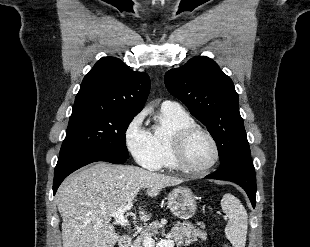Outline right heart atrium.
I'll return each instance as SVG.
<instances>
[{
	"mask_svg": "<svg viewBox=\"0 0 310 247\" xmlns=\"http://www.w3.org/2000/svg\"><path fill=\"white\" fill-rule=\"evenodd\" d=\"M146 112L138 113L127 125L124 132V140L127 149L134 159L146 168L157 166L151 135L144 127Z\"/></svg>",
	"mask_w": 310,
	"mask_h": 247,
	"instance_id": "obj_1",
	"label": "right heart atrium"
}]
</instances>
